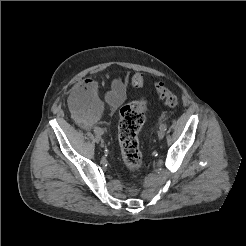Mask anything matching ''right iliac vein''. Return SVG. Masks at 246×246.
Wrapping results in <instances>:
<instances>
[{"label":"right iliac vein","instance_id":"right-iliac-vein-1","mask_svg":"<svg viewBox=\"0 0 246 246\" xmlns=\"http://www.w3.org/2000/svg\"><path fill=\"white\" fill-rule=\"evenodd\" d=\"M95 141L99 143L101 141V135L100 134H95Z\"/></svg>","mask_w":246,"mask_h":246}]
</instances>
